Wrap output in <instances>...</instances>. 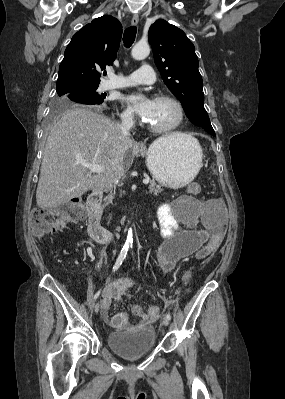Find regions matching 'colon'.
Masks as SVG:
<instances>
[{
  "instance_id": "5ec220e1",
  "label": "colon",
  "mask_w": 285,
  "mask_h": 399,
  "mask_svg": "<svg viewBox=\"0 0 285 399\" xmlns=\"http://www.w3.org/2000/svg\"><path fill=\"white\" fill-rule=\"evenodd\" d=\"M201 191L199 183H191L187 192L190 196H197ZM85 218V206L80 198H74L59 208H37L34 209L29 218V224L32 234L40 238L48 234L53 229L60 228L67 222H81ZM220 239L213 238L206 243L200 250L203 258H209L213 256L220 246ZM190 276H187L185 281ZM133 311L136 314L142 313V308L138 305L133 306ZM159 312V309L155 306H151L146 310V313L150 317H155Z\"/></svg>"
}]
</instances>
